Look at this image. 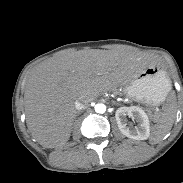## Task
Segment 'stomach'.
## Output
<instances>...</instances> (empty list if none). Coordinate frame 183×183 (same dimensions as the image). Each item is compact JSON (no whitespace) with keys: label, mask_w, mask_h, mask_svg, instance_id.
I'll list each match as a JSON object with an SVG mask.
<instances>
[{"label":"stomach","mask_w":183,"mask_h":183,"mask_svg":"<svg viewBox=\"0 0 183 183\" xmlns=\"http://www.w3.org/2000/svg\"><path fill=\"white\" fill-rule=\"evenodd\" d=\"M170 80L166 73L154 66L134 74L124 85L126 94L149 105L162 103L169 93Z\"/></svg>","instance_id":"0dacf381"}]
</instances>
